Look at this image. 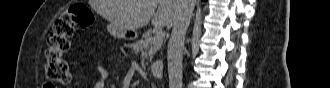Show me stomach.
Returning a JSON list of instances; mask_svg holds the SVG:
<instances>
[{"label":"stomach","mask_w":330,"mask_h":88,"mask_svg":"<svg viewBox=\"0 0 330 88\" xmlns=\"http://www.w3.org/2000/svg\"><path fill=\"white\" fill-rule=\"evenodd\" d=\"M116 34L123 38H126V36H127L126 31H119V32H116Z\"/></svg>","instance_id":"obj_1"}]
</instances>
